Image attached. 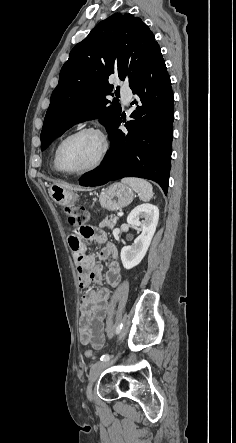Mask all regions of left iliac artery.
<instances>
[{
    "mask_svg": "<svg viewBox=\"0 0 236 443\" xmlns=\"http://www.w3.org/2000/svg\"><path fill=\"white\" fill-rule=\"evenodd\" d=\"M122 327H123V324H122V323H120V324L117 326V328H116V333H117V334L120 333ZM109 359H110V355H108V354L102 355L101 358H100L101 361H108Z\"/></svg>",
    "mask_w": 236,
    "mask_h": 443,
    "instance_id": "44dca946",
    "label": "left iliac artery"
}]
</instances>
